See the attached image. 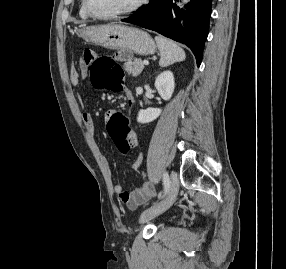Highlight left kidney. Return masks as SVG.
Masks as SVG:
<instances>
[{
	"label": "left kidney",
	"mask_w": 286,
	"mask_h": 269,
	"mask_svg": "<svg viewBox=\"0 0 286 269\" xmlns=\"http://www.w3.org/2000/svg\"><path fill=\"white\" fill-rule=\"evenodd\" d=\"M155 87L164 100H169L172 97L175 88L174 76L171 71H164L158 75L155 80ZM162 110L160 108H147L140 110L137 121L139 123H150L158 118Z\"/></svg>",
	"instance_id": "5707ae66"
}]
</instances>
